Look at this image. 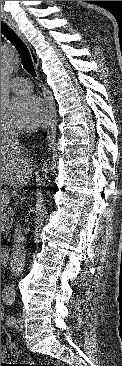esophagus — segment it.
Here are the masks:
<instances>
[{
  "label": "esophagus",
  "mask_w": 122,
  "mask_h": 366,
  "mask_svg": "<svg viewBox=\"0 0 122 366\" xmlns=\"http://www.w3.org/2000/svg\"><path fill=\"white\" fill-rule=\"evenodd\" d=\"M1 20L6 23L17 35L18 37H20L24 42H26L25 37L21 34V32L18 30V28L16 27L15 23L8 18L7 16H5L4 14H1ZM33 63L35 65L36 68H38L39 65V60L38 57L34 51V49L28 45ZM43 96H44V100H45V118L42 124V129L43 131L48 130V128L50 127L52 121H53V106L50 102L49 96L47 94V90L45 88V86L43 87Z\"/></svg>",
  "instance_id": "34e87169"
}]
</instances>
